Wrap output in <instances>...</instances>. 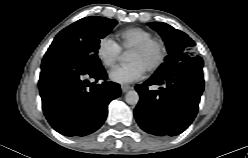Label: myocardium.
<instances>
[{"mask_svg":"<svg viewBox=\"0 0 248 158\" xmlns=\"http://www.w3.org/2000/svg\"><path fill=\"white\" fill-rule=\"evenodd\" d=\"M152 47H155L158 51V56L156 61L153 63L152 66H150L146 71L149 73H154L156 72L165 62L166 56H167V47L166 44L157 38H150L147 39L134 47L131 48V50L134 51H146Z\"/></svg>","mask_w":248,"mask_h":158,"instance_id":"f54148a6","label":"myocardium"}]
</instances>
